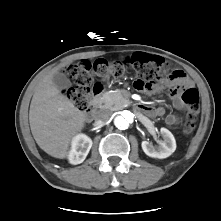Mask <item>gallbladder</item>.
I'll return each mask as SVG.
<instances>
[{
  "label": "gallbladder",
  "instance_id": "1",
  "mask_svg": "<svg viewBox=\"0 0 221 221\" xmlns=\"http://www.w3.org/2000/svg\"><path fill=\"white\" fill-rule=\"evenodd\" d=\"M53 83L59 89H67L70 86V81L65 74L57 72L53 76Z\"/></svg>",
  "mask_w": 221,
  "mask_h": 221
}]
</instances>
